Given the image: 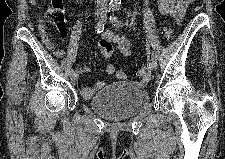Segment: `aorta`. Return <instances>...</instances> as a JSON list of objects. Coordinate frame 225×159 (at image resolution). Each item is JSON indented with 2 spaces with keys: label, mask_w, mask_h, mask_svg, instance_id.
<instances>
[{
  "label": "aorta",
  "mask_w": 225,
  "mask_h": 159,
  "mask_svg": "<svg viewBox=\"0 0 225 159\" xmlns=\"http://www.w3.org/2000/svg\"><path fill=\"white\" fill-rule=\"evenodd\" d=\"M120 4H121L120 0H111L109 3L110 7H118L120 6Z\"/></svg>",
  "instance_id": "762f6f07"
}]
</instances>
